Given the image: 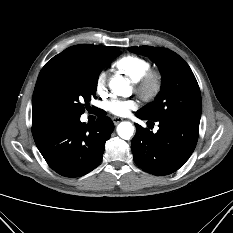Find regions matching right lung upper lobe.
I'll use <instances>...</instances> for the list:
<instances>
[{
  "mask_svg": "<svg viewBox=\"0 0 233 233\" xmlns=\"http://www.w3.org/2000/svg\"><path fill=\"white\" fill-rule=\"evenodd\" d=\"M107 47L91 44H80L67 48L60 54L53 57L41 70L32 98V125H36L51 118L44 110L42 104L43 84L48 73L61 62L78 57H92L104 51Z\"/></svg>",
  "mask_w": 233,
  "mask_h": 233,
  "instance_id": "1",
  "label": "right lung upper lobe"
}]
</instances>
